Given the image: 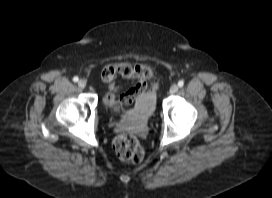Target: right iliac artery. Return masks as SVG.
Wrapping results in <instances>:
<instances>
[{"label":"right iliac artery","instance_id":"obj_1","mask_svg":"<svg viewBox=\"0 0 272 198\" xmlns=\"http://www.w3.org/2000/svg\"><path fill=\"white\" fill-rule=\"evenodd\" d=\"M78 80H79V78H78L77 76H75V77L73 78V81H74V82H78Z\"/></svg>","mask_w":272,"mask_h":198}]
</instances>
